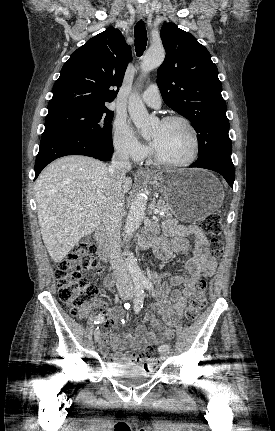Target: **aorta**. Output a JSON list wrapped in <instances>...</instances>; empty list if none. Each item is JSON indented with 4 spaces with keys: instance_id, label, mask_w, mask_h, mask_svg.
Masks as SVG:
<instances>
[{
    "instance_id": "762f6f07",
    "label": "aorta",
    "mask_w": 275,
    "mask_h": 431,
    "mask_svg": "<svg viewBox=\"0 0 275 431\" xmlns=\"http://www.w3.org/2000/svg\"><path fill=\"white\" fill-rule=\"evenodd\" d=\"M164 58L165 50L162 46L149 48L141 62L142 73H148L149 71L159 67ZM128 111L133 123L141 131L142 135H147L148 131L155 125L156 119L148 114L144 103L137 95H132L130 97ZM146 203V197L141 192L136 194L131 202L125 224V241L127 240V237L131 236L139 228L143 218L145 217ZM126 248L127 250H125L124 255L126 256L125 264L127 271L135 283H142L145 280V276L142 273L137 260L134 258L132 253L128 251V245Z\"/></svg>"
}]
</instances>
